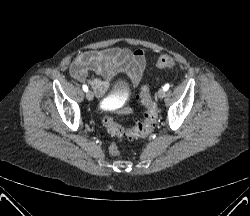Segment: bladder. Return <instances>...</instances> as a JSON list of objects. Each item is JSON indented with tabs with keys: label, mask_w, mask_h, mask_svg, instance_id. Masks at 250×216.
<instances>
[{
	"label": "bladder",
	"mask_w": 250,
	"mask_h": 216,
	"mask_svg": "<svg viewBox=\"0 0 250 216\" xmlns=\"http://www.w3.org/2000/svg\"><path fill=\"white\" fill-rule=\"evenodd\" d=\"M115 91L117 96H123L128 92V86L125 82H118L115 86Z\"/></svg>",
	"instance_id": "31cf9c89"
}]
</instances>
